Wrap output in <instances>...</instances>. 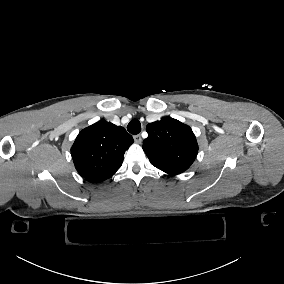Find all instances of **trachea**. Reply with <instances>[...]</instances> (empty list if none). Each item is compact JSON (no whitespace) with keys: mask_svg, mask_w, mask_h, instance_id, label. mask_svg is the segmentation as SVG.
Returning <instances> with one entry per match:
<instances>
[{"mask_svg":"<svg viewBox=\"0 0 284 284\" xmlns=\"http://www.w3.org/2000/svg\"><path fill=\"white\" fill-rule=\"evenodd\" d=\"M127 130L133 134L136 135L141 131V123L137 119H133L130 121V123L127 126Z\"/></svg>","mask_w":284,"mask_h":284,"instance_id":"1","label":"trachea"}]
</instances>
